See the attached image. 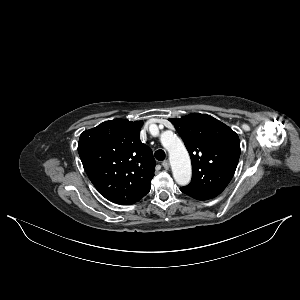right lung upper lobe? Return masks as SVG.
Here are the masks:
<instances>
[{"label":"right lung upper lobe","instance_id":"1","mask_svg":"<svg viewBox=\"0 0 300 300\" xmlns=\"http://www.w3.org/2000/svg\"><path fill=\"white\" fill-rule=\"evenodd\" d=\"M142 121L114 119L84 131L78 152L95 188L121 204L144 197L151 188L155 159L140 141Z\"/></svg>","mask_w":300,"mask_h":300}]
</instances>
